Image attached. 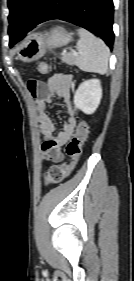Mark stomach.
I'll return each instance as SVG.
<instances>
[{
    "label": "stomach",
    "instance_id": "0dacf381",
    "mask_svg": "<svg viewBox=\"0 0 134 281\" xmlns=\"http://www.w3.org/2000/svg\"><path fill=\"white\" fill-rule=\"evenodd\" d=\"M72 41V34L62 28H55L47 34H33L22 44L18 58L24 62L40 59L48 49L67 45Z\"/></svg>",
    "mask_w": 134,
    "mask_h": 281
}]
</instances>
